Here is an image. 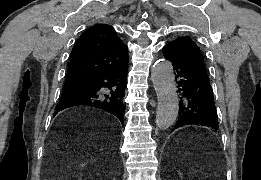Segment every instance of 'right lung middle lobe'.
Returning <instances> with one entry per match:
<instances>
[{"mask_svg":"<svg viewBox=\"0 0 261 180\" xmlns=\"http://www.w3.org/2000/svg\"><path fill=\"white\" fill-rule=\"evenodd\" d=\"M88 86L87 82H65L62 95H67L71 92L82 90Z\"/></svg>","mask_w":261,"mask_h":180,"instance_id":"right-lung-middle-lobe-1","label":"right lung middle lobe"}]
</instances>
